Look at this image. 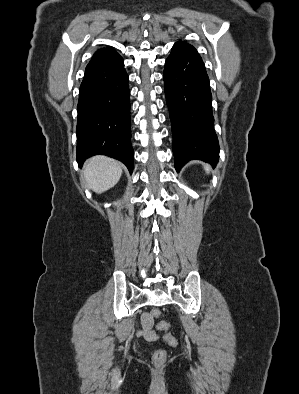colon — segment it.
<instances>
[{
  "instance_id": "obj_1",
  "label": "colon",
  "mask_w": 299,
  "mask_h": 394,
  "mask_svg": "<svg viewBox=\"0 0 299 394\" xmlns=\"http://www.w3.org/2000/svg\"><path fill=\"white\" fill-rule=\"evenodd\" d=\"M160 315H161V312L159 310L155 309L152 311V317L158 318V317H160ZM158 327L161 330L168 331L170 328V325L167 322H160L158 324ZM165 340L170 346H173V347L177 346V344H178L177 340L168 333L165 335ZM166 360H167V353L164 350L159 349V350H156L153 352L152 361L154 364L161 365V364L165 363Z\"/></svg>"
}]
</instances>
